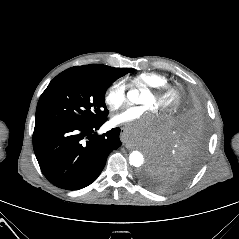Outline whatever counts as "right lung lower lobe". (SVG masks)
I'll use <instances>...</instances> for the list:
<instances>
[{
	"mask_svg": "<svg viewBox=\"0 0 239 239\" xmlns=\"http://www.w3.org/2000/svg\"><path fill=\"white\" fill-rule=\"evenodd\" d=\"M106 120L92 124L35 123L34 152L41 171L52 184L78 190L97 179L108 155L121 146L120 128L96 134Z\"/></svg>",
	"mask_w": 239,
	"mask_h": 239,
	"instance_id": "right-lung-lower-lobe-1",
	"label": "right lung lower lobe"
}]
</instances>
